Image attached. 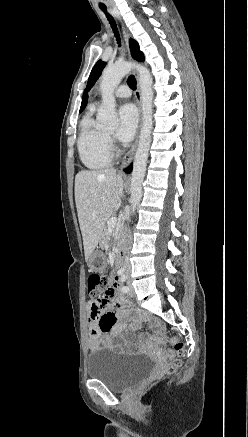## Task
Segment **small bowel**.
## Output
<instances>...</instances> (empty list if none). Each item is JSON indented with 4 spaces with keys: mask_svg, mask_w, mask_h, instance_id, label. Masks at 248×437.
I'll return each instance as SVG.
<instances>
[{
    "mask_svg": "<svg viewBox=\"0 0 248 437\" xmlns=\"http://www.w3.org/2000/svg\"><path fill=\"white\" fill-rule=\"evenodd\" d=\"M121 302L122 296L119 292L118 282L110 287L101 298L92 299L88 302V347L90 352L101 348H111L125 352H146L163 343V338L156 324L152 336L139 335L135 340L125 339L121 343H115L114 338L125 330V319L128 315L125 308L116 307ZM137 327L138 320H135L130 329L135 330Z\"/></svg>",
    "mask_w": 248,
    "mask_h": 437,
    "instance_id": "c3829d8e",
    "label": "small bowel"
}]
</instances>
